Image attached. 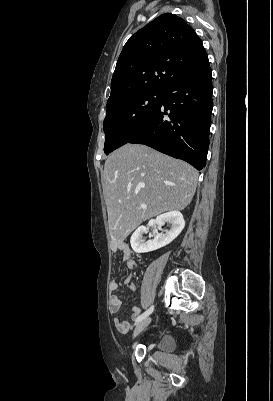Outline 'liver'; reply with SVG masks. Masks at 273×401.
Segmentation results:
<instances>
[{
	"label": "liver",
	"instance_id": "1",
	"mask_svg": "<svg viewBox=\"0 0 273 401\" xmlns=\"http://www.w3.org/2000/svg\"><path fill=\"white\" fill-rule=\"evenodd\" d=\"M102 180L109 235L118 243L151 217L183 211L192 201L198 170L150 146L128 142L109 154Z\"/></svg>",
	"mask_w": 273,
	"mask_h": 401
}]
</instances>
